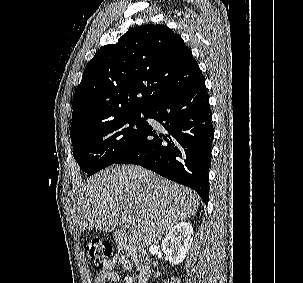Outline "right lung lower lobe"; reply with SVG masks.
Returning a JSON list of instances; mask_svg holds the SVG:
<instances>
[{
	"label": "right lung lower lobe",
	"mask_w": 303,
	"mask_h": 283,
	"mask_svg": "<svg viewBox=\"0 0 303 283\" xmlns=\"http://www.w3.org/2000/svg\"><path fill=\"white\" fill-rule=\"evenodd\" d=\"M147 113L165 130L158 131L148 124L115 164L141 165L194 189L207 204L213 127L204 76L157 101Z\"/></svg>",
	"instance_id": "98d812e1"
}]
</instances>
